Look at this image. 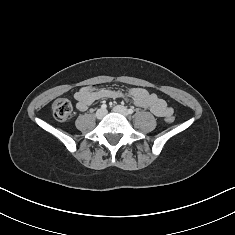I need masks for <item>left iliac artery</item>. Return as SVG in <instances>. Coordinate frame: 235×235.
<instances>
[{"label": "left iliac artery", "mask_w": 235, "mask_h": 235, "mask_svg": "<svg viewBox=\"0 0 235 235\" xmlns=\"http://www.w3.org/2000/svg\"><path fill=\"white\" fill-rule=\"evenodd\" d=\"M134 113V110L133 109H128V114H133Z\"/></svg>", "instance_id": "left-iliac-artery-1"}]
</instances>
